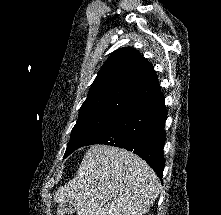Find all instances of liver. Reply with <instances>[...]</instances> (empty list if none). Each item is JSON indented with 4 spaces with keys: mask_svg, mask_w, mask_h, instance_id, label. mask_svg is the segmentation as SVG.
<instances>
[{
    "mask_svg": "<svg viewBox=\"0 0 221 215\" xmlns=\"http://www.w3.org/2000/svg\"><path fill=\"white\" fill-rule=\"evenodd\" d=\"M160 191L153 169L139 156L108 145L91 146L76 176L54 202L72 203L77 215H144Z\"/></svg>",
    "mask_w": 221,
    "mask_h": 215,
    "instance_id": "obj_1",
    "label": "liver"
}]
</instances>
